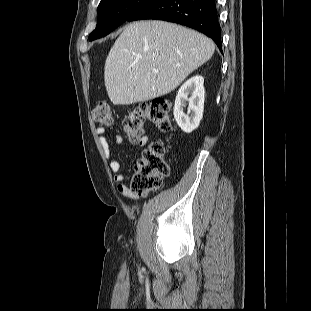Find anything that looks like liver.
<instances>
[{
  "mask_svg": "<svg viewBox=\"0 0 311 311\" xmlns=\"http://www.w3.org/2000/svg\"><path fill=\"white\" fill-rule=\"evenodd\" d=\"M215 50L205 35L164 21L128 24L112 46L104 81L114 105H129L166 95Z\"/></svg>",
  "mask_w": 311,
  "mask_h": 311,
  "instance_id": "obj_1",
  "label": "liver"
}]
</instances>
